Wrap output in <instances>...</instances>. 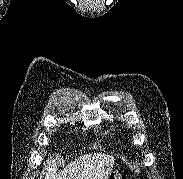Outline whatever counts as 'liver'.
Returning a JSON list of instances; mask_svg holds the SVG:
<instances>
[{
	"mask_svg": "<svg viewBox=\"0 0 183 179\" xmlns=\"http://www.w3.org/2000/svg\"><path fill=\"white\" fill-rule=\"evenodd\" d=\"M114 161V157L107 154H84L57 174V160L51 159L47 163L45 179H107Z\"/></svg>",
	"mask_w": 183,
	"mask_h": 179,
	"instance_id": "1",
	"label": "liver"
}]
</instances>
